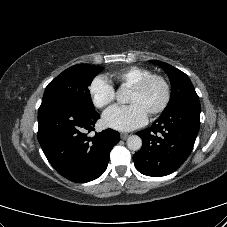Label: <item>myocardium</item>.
Returning a JSON list of instances; mask_svg holds the SVG:
<instances>
[{
    "label": "myocardium",
    "instance_id": "1",
    "mask_svg": "<svg viewBox=\"0 0 227 227\" xmlns=\"http://www.w3.org/2000/svg\"><path fill=\"white\" fill-rule=\"evenodd\" d=\"M153 81H158L162 84L163 89H164V97H163L161 104L149 112L150 116H156V115H159L162 112H164L171 101L172 89H171V85H170L168 79L165 76L160 75V74H150L132 86L133 90H135L137 92H142Z\"/></svg>",
    "mask_w": 227,
    "mask_h": 227
}]
</instances>
